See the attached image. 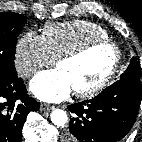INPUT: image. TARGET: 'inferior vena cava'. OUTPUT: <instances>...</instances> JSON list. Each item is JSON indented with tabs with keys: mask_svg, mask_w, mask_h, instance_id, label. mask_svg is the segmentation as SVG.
Segmentation results:
<instances>
[{
	"mask_svg": "<svg viewBox=\"0 0 142 142\" xmlns=\"http://www.w3.org/2000/svg\"><path fill=\"white\" fill-rule=\"evenodd\" d=\"M34 73V70H29V71H27L26 73H25V75H31V74H33Z\"/></svg>",
	"mask_w": 142,
	"mask_h": 142,
	"instance_id": "1",
	"label": "inferior vena cava"
}]
</instances>
